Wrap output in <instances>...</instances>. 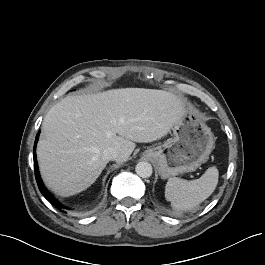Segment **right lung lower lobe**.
<instances>
[{
	"label": "right lung lower lobe",
	"mask_w": 265,
	"mask_h": 265,
	"mask_svg": "<svg viewBox=\"0 0 265 265\" xmlns=\"http://www.w3.org/2000/svg\"><path fill=\"white\" fill-rule=\"evenodd\" d=\"M38 137H39V133L36 135V139H35V144H34V150H33V155H34V169H35V177H36V181L39 187L40 192L42 193V195L50 202L52 203L57 209L61 210L62 212H65L63 209H65L66 207L63 206L58 200H56L53 195H51L48 190L45 188L39 171H38V165H37V160H36V153H35V148H36V143L38 141Z\"/></svg>",
	"instance_id": "98d812e1"
}]
</instances>
